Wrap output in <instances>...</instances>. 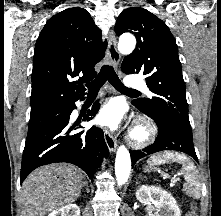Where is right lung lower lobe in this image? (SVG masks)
Listing matches in <instances>:
<instances>
[{"label":"right lung lower lobe","instance_id":"1","mask_svg":"<svg viewBox=\"0 0 221 216\" xmlns=\"http://www.w3.org/2000/svg\"><path fill=\"white\" fill-rule=\"evenodd\" d=\"M83 100L84 97H80ZM78 100V99H77ZM71 101L61 107L56 117L34 137L26 139L22 156L20 182L37 167L56 163H72L83 169L90 179L94 177L97 167L104 157L108 156V148L104 140V133L98 127H91L87 131L73 133L81 128L78 123L70 124V115L76 109ZM100 104H93L83 121L92 119L98 112Z\"/></svg>","mask_w":221,"mask_h":216}]
</instances>
